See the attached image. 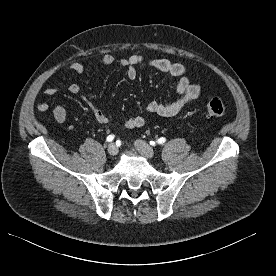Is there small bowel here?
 <instances>
[{"instance_id":"c3829d8e","label":"small bowel","mask_w":276,"mask_h":276,"mask_svg":"<svg viewBox=\"0 0 276 276\" xmlns=\"http://www.w3.org/2000/svg\"><path fill=\"white\" fill-rule=\"evenodd\" d=\"M115 58L111 54H104L99 60L98 64L101 66H110L114 63ZM144 63L149 69H156L161 72L170 74L177 77L178 81L175 85L176 92L180 95L178 99L168 103L158 101H151L148 103L146 110L151 114H157L164 117H172L177 115L185 107L193 103L200 94V86L190 83L187 75L186 68L180 63H173L168 59H149L143 55H132L122 58L119 62L120 66L126 70V76L129 80L133 81L137 77V66ZM68 68L77 74L84 70L81 63L74 62L68 65ZM60 89V84H49L45 87L44 92L47 95H54ZM70 93L79 95L84 103L88 106L94 115L95 120L102 125H111L112 119L98 108L87 96L81 93V87L77 83L69 85ZM39 112H45L49 109V103L40 102L36 106ZM53 116L59 123H64L67 120V111L64 106L56 105L53 108ZM145 124V119L142 116H131L124 123V129H138L142 128Z\"/></svg>"}]
</instances>
